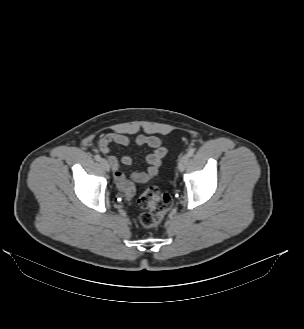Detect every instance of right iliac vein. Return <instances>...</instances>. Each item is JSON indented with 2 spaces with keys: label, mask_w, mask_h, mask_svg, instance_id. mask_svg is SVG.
Wrapping results in <instances>:
<instances>
[{
  "label": "right iliac vein",
  "mask_w": 304,
  "mask_h": 329,
  "mask_svg": "<svg viewBox=\"0 0 304 329\" xmlns=\"http://www.w3.org/2000/svg\"><path fill=\"white\" fill-rule=\"evenodd\" d=\"M100 164L103 167L104 170L109 171L110 170V165L106 159H101Z\"/></svg>",
  "instance_id": "1"
}]
</instances>
